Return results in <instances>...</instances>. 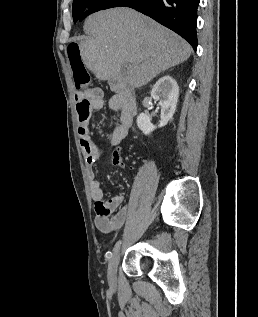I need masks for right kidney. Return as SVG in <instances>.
<instances>
[{"instance_id":"ca27d5eb","label":"right kidney","mask_w":258,"mask_h":317,"mask_svg":"<svg viewBox=\"0 0 258 317\" xmlns=\"http://www.w3.org/2000/svg\"><path fill=\"white\" fill-rule=\"evenodd\" d=\"M151 96L155 98V100H160L158 104L161 106V120H159L157 126H165L168 120L172 118L178 102L179 86L175 78H172L169 74H165V76L159 78L151 90ZM136 122L138 128H140L144 134H150L154 128H157L156 124H152L150 116L145 114V112H140Z\"/></svg>"}]
</instances>
